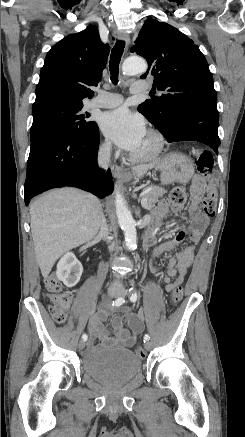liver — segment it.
Returning <instances> with one entry per match:
<instances>
[{
  "mask_svg": "<svg viewBox=\"0 0 245 437\" xmlns=\"http://www.w3.org/2000/svg\"><path fill=\"white\" fill-rule=\"evenodd\" d=\"M153 165L133 169L141 178ZM31 233L37 263L47 278L56 260L65 252L92 240L100 227L102 205L92 194L75 188L53 190L30 207Z\"/></svg>",
  "mask_w": 245,
  "mask_h": 437,
  "instance_id": "liver-1",
  "label": "liver"
}]
</instances>
